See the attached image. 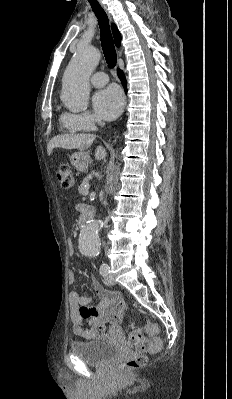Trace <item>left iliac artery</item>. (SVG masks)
<instances>
[{
  "instance_id": "44dca946",
  "label": "left iliac artery",
  "mask_w": 232,
  "mask_h": 399,
  "mask_svg": "<svg viewBox=\"0 0 232 399\" xmlns=\"http://www.w3.org/2000/svg\"><path fill=\"white\" fill-rule=\"evenodd\" d=\"M100 273H101L102 275H108V274H110V266H109L107 263H103V264L100 266Z\"/></svg>"
}]
</instances>
